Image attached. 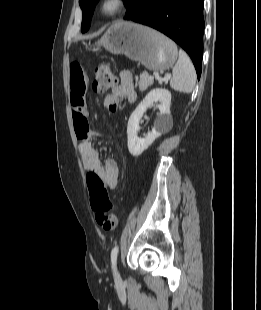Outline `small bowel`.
Wrapping results in <instances>:
<instances>
[{
    "instance_id": "small-bowel-1",
    "label": "small bowel",
    "mask_w": 261,
    "mask_h": 310,
    "mask_svg": "<svg viewBox=\"0 0 261 310\" xmlns=\"http://www.w3.org/2000/svg\"><path fill=\"white\" fill-rule=\"evenodd\" d=\"M70 89L74 128L77 138L81 141L79 151L84 167L102 177L110 188H115L119 175L116 161L109 158L102 165L99 153L92 144V140L98 137L99 133L89 130L88 113L84 102L86 77L79 62H73L70 66ZM121 99L131 102L136 99L133 78L128 72L123 73L120 80L112 86L111 92L104 99V106L111 111L116 110Z\"/></svg>"
}]
</instances>
